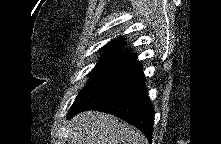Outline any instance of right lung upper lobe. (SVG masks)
<instances>
[{"label":"right lung upper lobe","mask_w":221,"mask_h":144,"mask_svg":"<svg viewBox=\"0 0 221 144\" xmlns=\"http://www.w3.org/2000/svg\"><path fill=\"white\" fill-rule=\"evenodd\" d=\"M125 45L124 38L118 39L112 42H109L107 45L104 46L105 53H120L121 48ZM136 55L135 53H126Z\"/></svg>","instance_id":"cb5924a9"}]
</instances>
